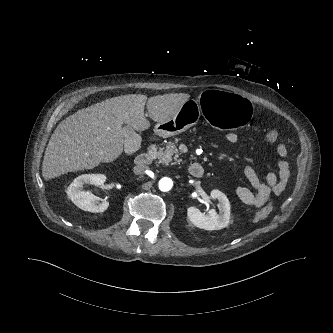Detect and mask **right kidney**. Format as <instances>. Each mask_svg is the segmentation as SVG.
Listing matches in <instances>:
<instances>
[{
  "label": "right kidney",
  "instance_id": "ca27d5eb",
  "mask_svg": "<svg viewBox=\"0 0 333 333\" xmlns=\"http://www.w3.org/2000/svg\"><path fill=\"white\" fill-rule=\"evenodd\" d=\"M105 181L106 176L103 174H83L73 180L67 189V195L82 210L93 213L104 212L108 208L109 202L102 200L100 203L98 197L82 188L87 184L100 186Z\"/></svg>",
  "mask_w": 333,
  "mask_h": 333
}]
</instances>
